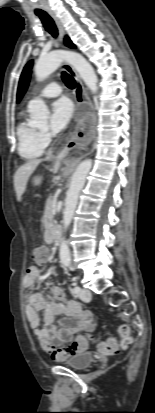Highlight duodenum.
<instances>
[{
  "label": "duodenum",
  "instance_id": "obj_1",
  "mask_svg": "<svg viewBox=\"0 0 155 413\" xmlns=\"http://www.w3.org/2000/svg\"><path fill=\"white\" fill-rule=\"evenodd\" d=\"M60 240V231L59 230H54L51 232V241L55 244H57Z\"/></svg>",
  "mask_w": 155,
  "mask_h": 413
}]
</instances>
